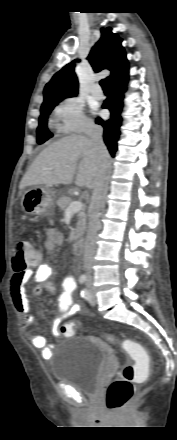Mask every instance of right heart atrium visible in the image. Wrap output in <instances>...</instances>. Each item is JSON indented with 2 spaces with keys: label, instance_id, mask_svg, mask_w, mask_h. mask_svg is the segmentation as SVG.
<instances>
[{
  "label": "right heart atrium",
  "instance_id": "right-heart-atrium-1",
  "mask_svg": "<svg viewBox=\"0 0 177 440\" xmlns=\"http://www.w3.org/2000/svg\"><path fill=\"white\" fill-rule=\"evenodd\" d=\"M52 121L55 129L63 134L83 133L93 129L84 114L82 102L75 97H67L55 106Z\"/></svg>",
  "mask_w": 177,
  "mask_h": 440
}]
</instances>
